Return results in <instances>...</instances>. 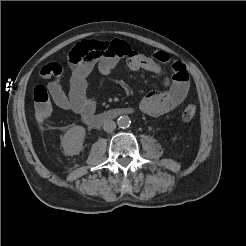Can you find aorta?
Here are the masks:
<instances>
[{
    "label": "aorta",
    "mask_w": 246,
    "mask_h": 246,
    "mask_svg": "<svg viewBox=\"0 0 246 246\" xmlns=\"http://www.w3.org/2000/svg\"><path fill=\"white\" fill-rule=\"evenodd\" d=\"M117 124L119 126V128H122V129H126L130 126L131 124V121H130V118L128 116H120L117 120Z\"/></svg>",
    "instance_id": "obj_1"
}]
</instances>
